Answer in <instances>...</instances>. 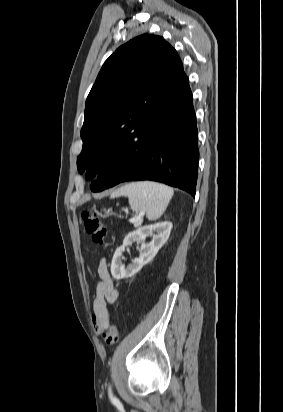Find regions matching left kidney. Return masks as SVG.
Segmentation results:
<instances>
[{"label": "left kidney", "instance_id": "left-kidney-1", "mask_svg": "<svg viewBox=\"0 0 283 412\" xmlns=\"http://www.w3.org/2000/svg\"><path fill=\"white\" fill-rule=\"evenodd\" d=\"M173 225L171 222H160L153 225H146L129 233L123 240V245L116 249L111 264V274L114 279L120 280L129 278L139 272L142 267L148 264L158 253L159 249L167 242ZM156 232V234H153ZM153 235V240L145 243L147 236ZM134 242H141L140 256L135 258L127 268L122 264V253L125 247Z\"/></svg>", "mask_w": 283, "mask_h": 412}]
</instances>
